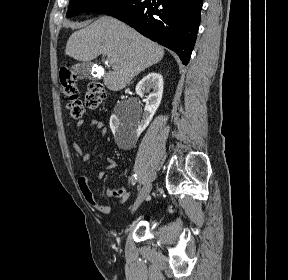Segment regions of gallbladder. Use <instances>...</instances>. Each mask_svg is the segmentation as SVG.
<instances>
[{"mask_svg": "<svg viewBox=\"0 0 288 280\" xmlns=\"http://www.w3.org/2000/svg\"><path fill=\"white\" fill-rule=\"evenodd\" d=\"M92 64L91 63H79L71 66V71L75 74H79L85 77H91L90 70H91Z\"/></svg>", "mask_w": 288, "mask_h": 280, "instance_id": "obj_1", "label": "gallbladder"}]
</instances>
